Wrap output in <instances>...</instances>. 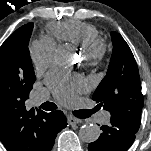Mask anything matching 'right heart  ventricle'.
<instances>
[{"mask_svg":"<svg viewBox=\"0 0 151 151\" xmlns=\"http://www.w3.org/2000/svg\"><path fill=\"white\" fill-rule=\"evenodd\" d=\"M48 32L56 41L68 42L82 48L99 39L98 31L93 25L77 20L51 23Z\"/></svg>","mask_w":151,"mask_h":151,"instance_id":"obj_1","label":"right heart ventricle"}]
</instances>
